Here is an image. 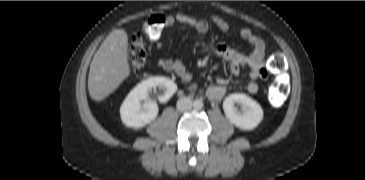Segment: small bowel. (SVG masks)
I'll return each mask as SVG.
<instances>
[{
    "label": "small bowel",
    "instance_id": "1",
    "mask_svg": "<svg viewBox=\"0 0 365 180\" xmlns=\"http://www.w3.org/2000/svg\"><path fill=\"white\" fill-rule=\"evenodd\" d=\"M212 21L219 30L223 32L229 30V24L224 19L214 16ZM165 26H176L179 30L192 29L202 37H204L209 30L206 21L197 20L183 13L168 15L165 18ZM239 35L250 44L252 49L250 53H242L232 47L222 44L207 46L204 48V51L212 53L227 62L230 72L235 76L240 75L243 69H247L251 81L247 83L246 91L249 94H256L259 90V85L255 80H265L267 77L265 44L264 41L259 36L255 35L249 28H241ZM154 40L156 41L157 47L161 48L163 40L160 37ZM158 65L166 71L176 73L185 83L191 81L190 73L180 61L163 58L158 61ZM191 87L192 89H198V86L195 84ZM203 90L211 101H219L225 95V88L220 85H210Z\"/></svg>",
    "mask_w": 365,
    "mask_h": 180
}]
</instances>
